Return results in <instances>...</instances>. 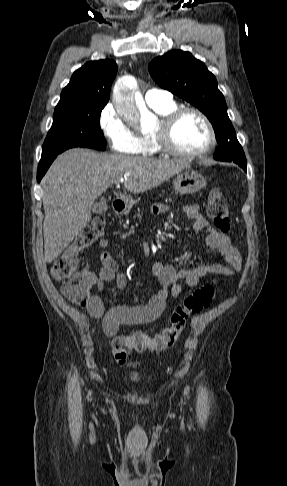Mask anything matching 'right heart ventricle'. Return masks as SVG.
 Here are the masks:
<instances>
[{"label": "right heart ventricle", "mask_w": 287, "mask_h": 486, "mask_svg": "<svg viewBox=\"0 0 287 486\" xmlns=\"http://www.w3.org/2000/svg\"><path fill=\"white\" fill-rule=\"evenodd\" d=\"M159 115L162 117L167 115L169 112L173 111L176 109V104L174 102H171L166 105H161V106H155L152 107ZM140 139V148L139 151L137 152L140 155L143 156H154L158 153H160V149L157 146L153 135H143L142 137H139Z\"/></svg>", "instance_id": "obj_1"}]
</instances>
